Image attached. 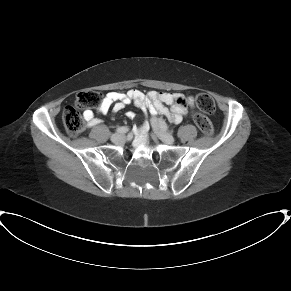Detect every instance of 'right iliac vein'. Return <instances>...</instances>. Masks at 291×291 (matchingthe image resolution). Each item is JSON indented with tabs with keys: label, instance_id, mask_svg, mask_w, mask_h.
<instances>
[{
	"label": "right iliac vein",
	"instance_id": "1",
	"mask_svg": "<svg viewBox=\"0 0 291 291\" xmlns=\"http://www.w3.org/2000/svg\"><path fill=\"white\" fill-rule=\"evenodd\" d=\"M125 136L122 134H113L111 136V141L114 143H118L121 142L122 140H124Z\"/></svg>",
	"mask_w": 291,
	"mask_h": 291
}]
</instances>
